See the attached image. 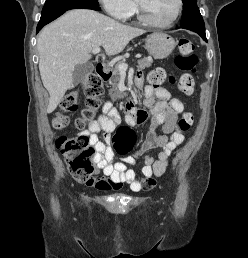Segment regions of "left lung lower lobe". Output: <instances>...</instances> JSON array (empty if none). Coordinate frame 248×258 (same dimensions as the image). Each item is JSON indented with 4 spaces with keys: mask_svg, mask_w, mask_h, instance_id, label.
<instances>
[{
    "mask_svg": "<svg viewBox=\"0 0 248 258\" xmlns=\"http://www.w3.org/2000/svg\"><path fill=\"white\" fill-rule=\"evenodd\" d=\"M181 27L184 28V29H188V30H191V31H194V32L198 33L203 38V40L207 41L206 35H205L204 22L192 23V24H188V25H185V26H181Z\"/></svg>",
    "mask_w": 248,
    "mask_h": 258,
    "instance_id": "obj_1",
    "label": "left lung lower lobe"
}]
</instances>
